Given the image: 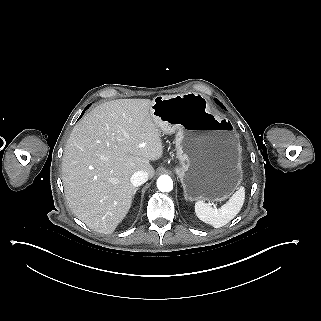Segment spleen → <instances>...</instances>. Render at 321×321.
I'll return each mask as SVG.
<instances>
[{
	"mask_svg": "<svg viewBox=\"0 0 321 321\" xmlns=\"http://www.w3.org/2000/svg\"><path fill=\"white\" fill-rule=\"evenodd\" d=\"M244 202V187L232 196L229 202L220 208L213 209L202 201L195 203L196 216L206 224L214 228H220L230 222L240 211Z\"/></svg>",
	"mask_w": 321,
	"mask_h": 321,
	"instance_id": "3e777b00",
	"label": "spleen"
}]
</instances>
